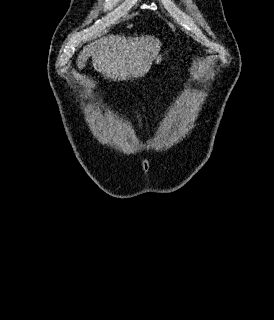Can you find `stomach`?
<instances>
[{"mask_svg":"<svg viewBox=\"0 0 274 320\" xmlns=\"http://www.w3.org/2000/svg\"><path fill=\"white\" fill-rule=\"evenodd\" d=\"M163 58L161 56V54H157L156 58H155V64H160V62H162Z\"/></svg>","mask_w":274,"mask_h":320,"instance_id":"1","label":"stomach"}]
</instances>
